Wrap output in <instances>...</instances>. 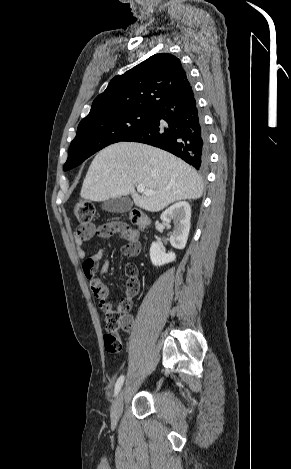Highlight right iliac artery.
<instances>
[{"label":"right iliac artery","instance_id":"1","mask_svg":"<svg viewBox=\"0 0 291 469\" xmlns=\"http://www.w3.org/2000/svg\"><path fill=\"white\" fill-rule=\"evenodd\" d=\"M123 382H124V375H121V376L118 378V380H117V382H116V384H115L114 395H117V394H118V392H119L120 389H121V386H122Z\"/></svg>","mask_w":291,"mask_h":469}]
</instances>
